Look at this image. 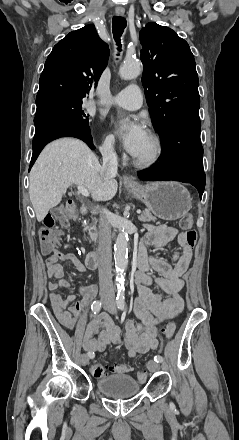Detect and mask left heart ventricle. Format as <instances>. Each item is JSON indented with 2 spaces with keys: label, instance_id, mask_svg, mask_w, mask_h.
<instances>
[{
  "label": "left heart ventricle",
  "instance_id": "1",
  "mask_svg": "<svg viewBox=\"0 0 239 440\" xmlns=\"http://www.w3.org/2000/svg\"><path fill=\"white\" fill-rule=\"evenodd\" d=\"M153 152H154L153 142L149 137V135H147L145 141L143 142L136 156L147 158L150 157L153 154Z\"/></svg>",
  "mask_w": 239,
  "mask_h": 440
}]
</instances>
